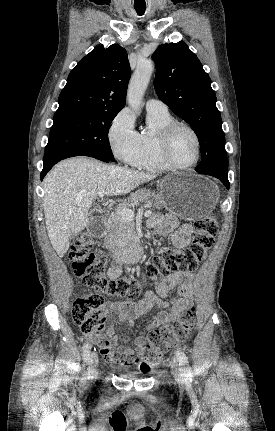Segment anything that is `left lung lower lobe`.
Returning <instances> with one entry per match:
<instances>
[{
	"instance_id": "1",
	"label": "left lung lower lobe",
	"mask_w": 275,
	"mask_h": 431,
	"mask_svg": "<svg viewBox=\"0 0 275 431\" xmlns=\"http://www.w3.org/2000/svg\"><path fill=\"white\" fill-rule=\"evenodd\" d=\"M198 173L211 175V176H214V177L220 179V181L225 185V187L227 189H229L230 184L228 181V173L209 172V171H202V172H198Z\"/></svg>"
}]
</instances>
